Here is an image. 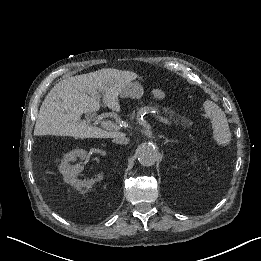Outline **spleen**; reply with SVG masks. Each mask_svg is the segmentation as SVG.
Masks as SVG:
<instances>
[{
	"label": "spleen",
	"instance_id": "1",
	"mask_svg": "<svg viewBox=\"0 0 261 261\" xmlns=\"http://www.w3.org/2000/svg\"><path fill=\"white\" fill-rule=\"evenodd\" d=\"M205 114L212 125V140L220 148H227L232 143V134L223 111L212 104L205 107Z\"/></svg>",
	"mask_w": 261,
	"mask_h": 261
}]
</instances>
